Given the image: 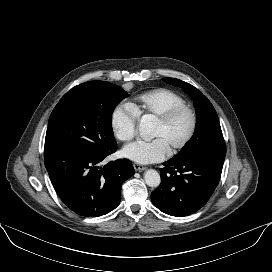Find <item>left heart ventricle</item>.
Returning a JSON list of instances; mask_svg holds the SVG:
<instances>
[{
  "label": "left heart ventricle",
  "instance_id": "1",
  "mask_svg": "<svg viewBox=\"0 0 272 272\" xmlns=\"http://www.w3.org/2000/svg\"><path fill=\"white\" fill-rule=\"evenodd\" d=\"M189 127L190 118L188 114L181 113L167 125L163 126L155 122L152 135L161 138L169 150L186 136Z\"/></svg>",
  "mask_w": 272,
  "mask_h": 272
}]
</instances>
